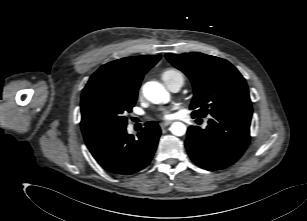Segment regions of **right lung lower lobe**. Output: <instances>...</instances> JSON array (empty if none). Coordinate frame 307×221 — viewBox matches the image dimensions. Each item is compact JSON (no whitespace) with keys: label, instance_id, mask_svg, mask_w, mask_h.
Instances as JSON below:
<instances>
[{"label":"right lung lower lobe","instance_id":"1","mask_svg":"<svg viewBox=\"0 0 307 221\" xmlns=\"http://www.w3.org/2000/svg\"><path fill=\"white\" fill-rule=\"evenodd\" d=\"M145 125L137 139L123 128L88 149L106 171L116 175L134 174L150 164L161 134L155 121Z\"/></svg>","mask_w":307,"mask_h":221}]
</instances>
